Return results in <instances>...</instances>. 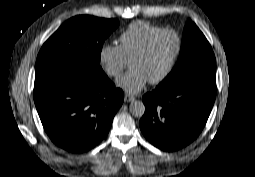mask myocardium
<instances>
[{
    "mask_svg": "<svg viewBox=\"0 0 255 177\" xmlns=\"http://www.w3.org/2000/svg\"><path fill=\"white\" fill-rule=\"evenodd\" d=\"M166 33H171L174 35V37L176 39V50H175L172 58L170 59L168 65L164 69V71L158 77L149 80V83H151V84H158V83H161L162 81H164L169 76L172 69L174 68V66L182 52V38H181L180 34L175 29H172V28H164V29L159 30L158 32L154 33L152 36H150L148 38V40L146 41L144 46L140 49V51L132 59V62H133L134 60L145 57L147 55V53L149 52L150 48L152 47L153 43L157 40V38L163 34H166Z\"/></svg>",
    "mask_w": 255,
    "mask_h": 177,
    "instance_id": "myocardium-1",
    "label": "myocardium"
}]
</instances>
